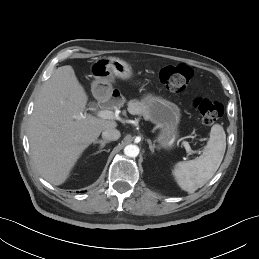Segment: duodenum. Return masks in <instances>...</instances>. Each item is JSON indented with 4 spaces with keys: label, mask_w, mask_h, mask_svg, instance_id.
I'll return each mask as SVG.
<instances>
[{
    "label": "duodenum",
    "mask_w": 259,
    "mask_h": 259,
    "mask_svg": "<svg viewBox=\"0 0 259 259\" xmlns=\"http://www.w3.org/2000/svg\"><path fill=\"white\" fill-rule=\"evenodd\" d=\"M121 101V94L118 90H113L109 95L99 99L98 103L101 106L118 104Z\"/></svg>",
    "instance_id": "obj_1"
}]
</instances>
